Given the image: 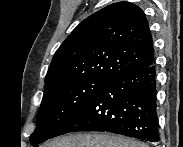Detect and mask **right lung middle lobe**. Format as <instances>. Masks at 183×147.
<instances>
[{"mask_svg": "<svg viewBox=\"0 0 183 147\" xmlns=\"http://www.w3.org/2000/svg\"><path fill=\"white\" fill-rule=\"evenodd\" d=\"M109 81L85 78L45 88L37 117V128L30 137L32 146L52 138L63 122Z\"/></svg>", "mask_w": 183, "mask_h": 147, "instance_id": "obj_1", "label": "right lung middle lobe"}]
</instances>
